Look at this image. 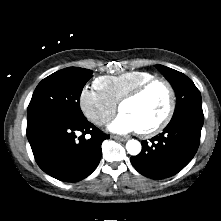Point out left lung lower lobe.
Here are the masks:
<instances>
[{"label":"left lung lower lobe","mask_w":221,"mask_h":221,"mask_svg":"<svg viewBox=\"0 0 221 221\" xmlns=\"http://www.w3.org/2000/svg\"><path fill=\"white\" fill-rule=\"evenodd\" d=\"M203 122L202 110H187L173 116L162 133L150 142L142 141L141 153L131 157L132 165L154 180L177 174L196 154Z\"/></svg>","instance_id":"0a47b994"}]
</instances>
